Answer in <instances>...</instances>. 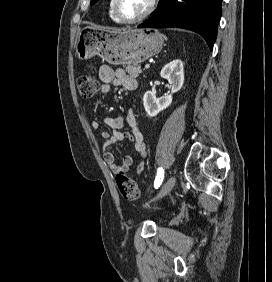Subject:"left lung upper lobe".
I'll use <instances>...</instances> for the list:
<instances>
[{"instance_id":"obj_1","label":"left lung upper lobe","mask_w":272,"mask_h":282,"mask_svg":"<svg viewBox=\"0 0 272 282\" xmlns=\"http://www.w3.org/2000/svg\"><path fill=\"white\" fill-rule=\"evenodd\" d=\"M98 0H91V5L95 4Z\"/></svg>"}]
</instances>
